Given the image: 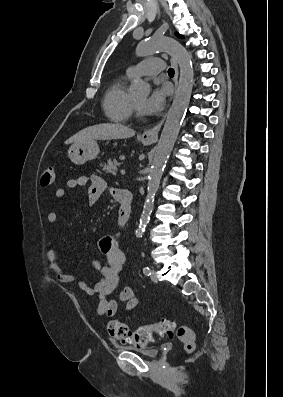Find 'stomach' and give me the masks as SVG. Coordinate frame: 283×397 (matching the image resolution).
Returning <instances> with one entry per match:
<instances>
[{"instance_id": "0dacf381", "label": "stomach", "mask_w": 283, "mask_h": 397, "mask_svg": "<svg viewBox=\"0 0 283 397\" xmlns=\"http://www.w3.org/2000/svg\"><path fill=\"white\" fill-rule=\"evenodd\" d=\"M144 145H150L151 142L142 140ZM99 154V146L95 140L74 143L68 150V156L76 165H83L87 161L93 160Z\"/></svg>"}]
</instances>
